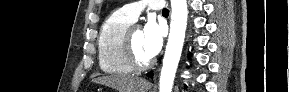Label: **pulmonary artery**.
Here are the masks:
<instances>
[{
  "label": "pulmonary artery",
  "mask_w": 289,
  "mask_h": 92,
  "mask_svg": "<svg viewBox=\"0 0 289 92\" xmlns=\"http://www.w3.org/2000/svg\"><path fill=\"white\" fill-rule=\"evenodd\" d=\"M148 6L153 10H163L164 1L162 0H148V1H139L133 2L124 5L120 11L131 21H136L144 7Z\"/></svg>",
  "instance_id": "pulmonary-artery-1"
}]
</instances>
